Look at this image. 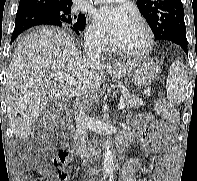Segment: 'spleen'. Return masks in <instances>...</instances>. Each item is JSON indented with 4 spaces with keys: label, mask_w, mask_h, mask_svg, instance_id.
<instances>
[{
    "label": "spleen",
    "mask_w": 197,
    "mask_h": 181,
    "mask_svg": "<svg viewBox=\"0 0 197 181\" xmlns=\"http://www.w3.org/2000/svg\"><path fill=\"white\" fill-rule=\"evenodd\" d=\"M187 75L183 63L174 61L169 68L166 82L167 99L173 104H180L186 98Z\"/></svg>",
    "instance_id": "3e777b00"
}]
</instances>
